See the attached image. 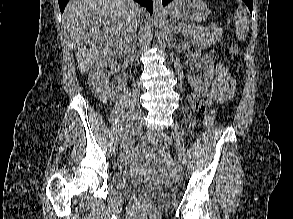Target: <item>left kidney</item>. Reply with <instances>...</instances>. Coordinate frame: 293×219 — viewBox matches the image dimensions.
I'll list each match as a JSON object with an SVG mask.
<instances>
[{"label":"left kidney","mask_w":293,"mask_h":219,"mask_svg":"<svg viewBox=\"0 0 293 219\" xmlns=\"http://www.w3.org/2000/svg\"><path fill=\"white\" fill-rule=\"evenodd\" d=\"M190 47V42H183L182 48ZM197 69L203 71V74L196 76L194 72L187 73V79L190 85L197 91H206L213 80L214 62L211 57H204Z\"/></svg>","instance_id":"left-kidney-1"}]
</instances>
